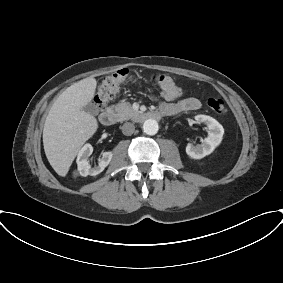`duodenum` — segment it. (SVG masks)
<instances>
[{
	"label": "duodenum",
	"mask_w": 283,
	"mask_h": 283,
	"mask_svg": "<svg viewBox=\"0 0 283 283\" xmlns=\"http://www.w3.org/2000/svg\"><path fill=\"white\" fill-rule=\"evenodd\" d=\"M170 111L165 112H141L138 114L137 120L139 122H144L147 120H158L163 115H170ZM116 116L112 110H105L100 113L99 121L102 125L108 126L115 122Z\"/></svg>",
	"instance_id": "obj_1"
}]
</instances>
